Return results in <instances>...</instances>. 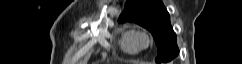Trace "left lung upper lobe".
Instances as JSON below:
<instances>
[{"label":"left lung upper lobe","instance_id":"1","mask_svg":"<svg viewBox=\"0 0 242 64\" xmlns=\"http://www.w3.org/2000/svg\"><path fill=\"white\" fill-rule=\"evenodd\" d=\"M118 21L134 22L151 32L158 49L157 63L171 61L178 55L176 34L161 0H127Z\"/></svg>","mask_w":242,"mask_h":64}]
</instances>
